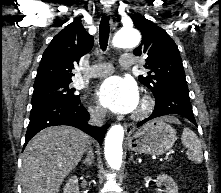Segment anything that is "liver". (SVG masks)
<instances>
[{"instance_id":"liver-1","label":"liver","mask_w":221,"mask_h":193,"mask_svg":"<svg viewBox=\"0 0 221 193\" xmlns=\"http://www.w3.org/2000/svg\"><path fill=\"white\" fill-rule=\"evenodd\" d=\"M165 120L178 122L174 117ZM90 142L87 134L70 126L48 127L36 134L22 157L23 193H58Z\"/></svg>"}]
</instances>
